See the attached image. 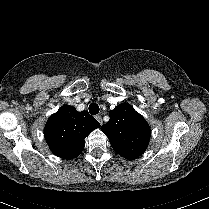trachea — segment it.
Returning <instances> with one entry per match:
<instances>
[{
	"label": "trachea",
	"mask_w": 209,
	"mask_h": 209,
	"mask_svg": "<svg viewBox=\"0 0 209 209\" xmlns=\"http://www.w3.org/2000/svg\"><path fill=\"white\" fill-rule=\"evenodd\" d=\"M99 106H98V104H96V103H91L90 105H89V112H90V114H92V115H96V114H98L99 113Z\"/></svg>",
	"instance_id": "3493384b"
}]
</instances>
